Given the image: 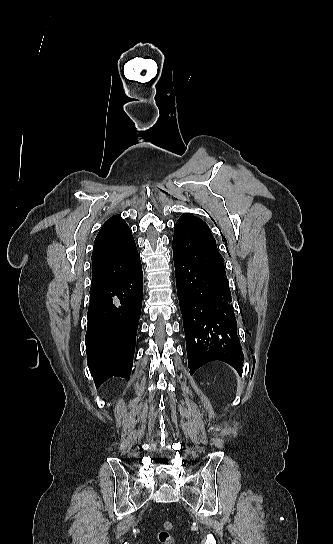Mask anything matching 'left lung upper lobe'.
Returning a JSON list of instances; mask_svg holds the SVG:
<instances>
[{
  "instance_id": "obj_1",
  "label": "left lung upper lobe",
  "mask_w": 333,
  "mask_h": 544,
  "mask_svg": "<svg viewBox=\"0 0 333 544\" xmlns=\"http://www.w3.org/2000/svg\"><path fill=\"white\" fill-rule=\"evenodd\" d=\"M173 251L211 269L227 283L224 259L208 225L192 214H183L174 226Z\"/></svg>"
}]
</instances>
